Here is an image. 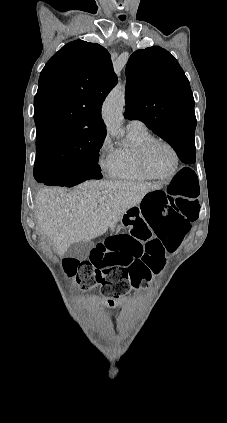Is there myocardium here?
<instances>
[{"mask_svg": "<svg viewBox=\"0 0 227 423\" xmlns=\"http://www.w3.org/2000/svg\"><path fill=\"white\" fill-rule=\"evenodd\" d=\"M155 144L164 145L167 149H169V151L172 153V156H173V166L171 170L165 175H159L154 173L150 169L147 162L148 152L151 149V147ZM136 159H137L138 167L141 170V172L147 178L155 179V180H168L172 178L177 173L180 167V157L176 148L170 142H168L167 140L163 138L151 137L148 140H146L144 143H142L136 152Z\"/></svg>", "mask_w": 227, "mask_h": 423, "instance_id": "1", "label": "myocardium"}]
</instances>
